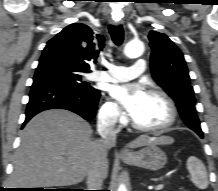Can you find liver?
<instances>
[{
	"mask_svg": "<svg viewBox=\"0 0 218 191\" xmlns=\"http://www.w3.org/2000/svg\"><path fill=\"white\" fill-rule=\"evenodd\" d=\"M91 134L89 123L70 111L54 109L36 115L22 131L14 155L11 185L15 188L75 185L84 180L101 155L105 157L108 173V149L103 147V140H91ZM173 142L169 136L144 135L128 147Z\"/></svg>",
	"mask_w": 218,
	"mask_h": 191,
	"instance_id": "obj_1",
	"label": "liver"
}]
</instances>
